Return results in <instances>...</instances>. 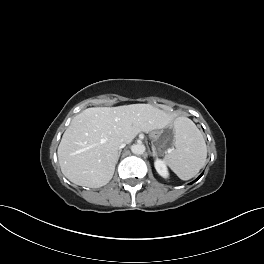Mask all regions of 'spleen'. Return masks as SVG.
<instances>
[{
  "label": "spleen",
  "mask_w": 264,
  "mask_h": 264,
  "mask_svg": "<svg viewBox=\"0 0 264 264\" xmlns=\"http://www.w3.org/2000/svg\"><path fill=\"white\" fill-rule=\"evenodd\" d=\"M175 149L164 159L171 170L182 180L193 178L204 166L207 147L202 133L187 117H179L174 122Z\"/></svg>",
  "instance_id": "obj_1"
}]
</instances>
